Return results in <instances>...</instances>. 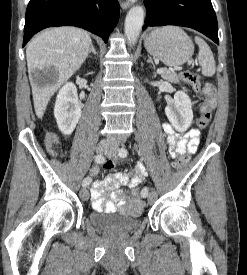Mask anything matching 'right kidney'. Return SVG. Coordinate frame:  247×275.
Segmentation results:
<instances>
[{
    "instance_id": "obj_1",
    "label": "right kidney",
    "mask_w": 247,
    "mask_h": 275,
    "mask_svg": "<svg viewBox=\"0 0 247 275\" xmlns=\"http://www.w3.org/2000/svg\"><path fill=\"white\" fill-rule=\"evenodd\" d=\"M82 107L76 86L71 82L66 83L60 89L54 107L58 128L64 135H70L74 131L81 117Z\"/></svg>"
}]
</instances>
